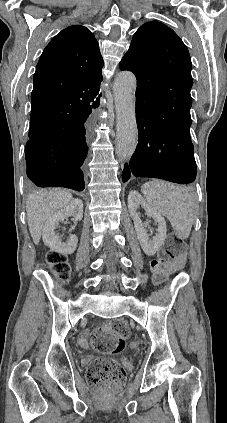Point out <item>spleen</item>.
Returning a JSON list of instances; mask_svg holds the SVG:
<instances>
[{"instance_id":"1","label":"spleen","mask_w":227,"mask_h":423,"mask_svg":"<svg viewBox=\"0 0 227 423\" xmlns=\"http://www.w3.org/2000/svg\"><path fill=\"white\" fill-rule=\"evenodd\" d=\"M141 192L150 208L169 219L180 239L189 237L195 217V204L185 188L163 180H152L142 186Z\"/></svg>"}]
</instances>
